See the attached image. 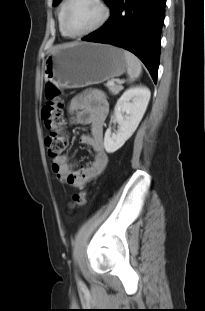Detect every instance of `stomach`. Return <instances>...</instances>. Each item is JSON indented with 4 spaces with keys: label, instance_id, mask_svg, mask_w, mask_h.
Listing matches in <instances>:
<instances>
[{
    "label": "stomach",
    "instance_id": "1",
    "mask_svg": "<svg viewBox=\"0 0 205 311\" xmlns=\"http://www.w3.org/2000/svg\"><path fill=\"white\" fill-rule=\"evenodd\" d=\"M126 68L123 49L79 42L54 48L44 62V77L58 89L81 88L118 77Z\"/></svg>",
    "mask_w": 205,
    "mask_h": 311
}]
</instances>
